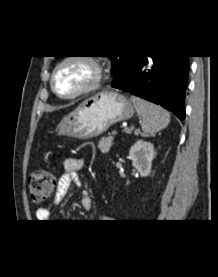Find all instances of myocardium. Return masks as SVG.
I'll use <instances>...</instances> for the list:
<instances>
[{
    "label": "myocardium",
    "instance_id": "myocardium-1",
    "mask_svg": "<svg viewBox=\"0 0 218 277\" xmlns=\"http://www.w3.org/2000/svg\"><path fill=\"white\" fill-rule=\"evenodd\" d=\"M72 63L82 64L86 66L90 71V77L88 81L78 91L69 95H64L57 90L55 85V80H56L57 74L61 71V69ZM103 75L104 74H103L102 66L95 58L89 57V56H80V55L68 56L63 58L60 62H58L54 66L52 75H51V80H50L51 89L55 93V95H57L61 99H65V100L75 99L84 94H87L89 92H92L98 89V87L102 83Z\"/></svg>",
    "mask_w": 218,
    "mask_h": 277
}]
</instances>
